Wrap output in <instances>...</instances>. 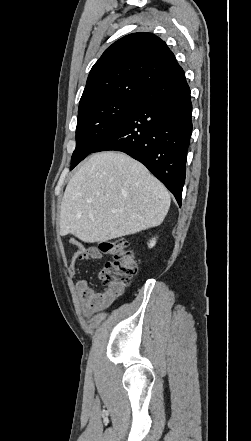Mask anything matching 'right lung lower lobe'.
I'll return each mask as SVG.
<instances>
[{
	"instance_id": "obj_1",
	"label": "right lung lower lobe",
	"mask_w": 251,
	"mask_h": 441,
	"mask_svg": "<svg viewBox=\"0 0 251 441\" xmlns=\"http://www.w3.org/2000/svg\"><path fill=\"white\" fill-rule=\"evenodd\" d=\"M191 115L190 88L182 69L145 92L92 152L121 151L140 161L181 206Z\"/></svg>"
}]
</instances>
